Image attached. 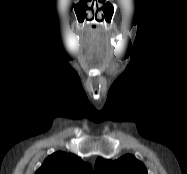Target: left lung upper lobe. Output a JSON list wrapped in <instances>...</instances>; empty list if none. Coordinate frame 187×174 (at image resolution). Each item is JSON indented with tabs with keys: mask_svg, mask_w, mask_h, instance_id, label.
<instances>
[{
	"mask_svg": "<svg viewBox=\"0 0 187 174\" xmlns=\"http://www.w3.org/2000/svg\"><path fill=\"white\" fill-rule=\"evenodd\" d=\"M95 174H147V170L143 163L128 154L115 161L98 158Z\"/></svg>",
	"mask_w": 187,
	"mask_h": 174,
	"instance_id": "obj_1",
	"label": "left lung upper lobe"
}]
</instances>
